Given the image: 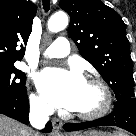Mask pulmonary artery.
I'll return each instance as SVG.
<instances>
[{
    "label": "pulmonary artery",
    "mask_w": 136,
    "mask_h": 136,
    "mask_svg": "<svg viewBox=\"0 0 136 136\" xmlns=\"http://www.w3.org/2000/svg\"><path fill=\"white\" fill-rule=\"evenodd\" d=\"M70 52L69 41L64 37L57 38L45 51L46 57H65Z\"/></svg>",
    "instance_id": "pulmonary-artery-1"
}]
</instances>
